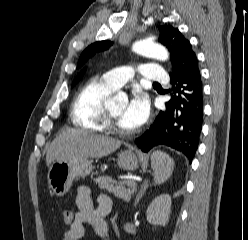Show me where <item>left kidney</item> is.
Instances as JSON below:
<instances>
[{"label":"left kidney","mask_w":248,"mask_h":240,"mask_svg":"<svg viewBox=\"0 0 248 240\" xmlns=\"http://www.w3.org/2000/svg\"><path fill=\"white\" fill-rule=\"evenodd\" d=\"M171 197L167 194L156 197L147 209V221L153 225L165 226L171 213Z\"/></svg>","instance_id":"1"}]
</instances>
